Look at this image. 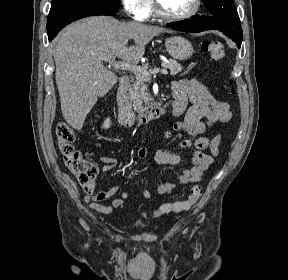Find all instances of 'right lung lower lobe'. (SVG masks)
<instances>
[{"instance_id":"98d812e1","label":"right lung lower lobe","mask_w":288,"mask_h":280,"mask_svg":"<svg viewBox=\"0 0 288 280\" xmlns=\"http://www.w3.org/2000/svg\"><path fill=\"white\" fill-rule=\"evenodd\" d=\"M117 11L93 1H77L50 10L47 18V34L52 41L58 32L69 23L91 15H114Z\"/></svg>"}]
</instances>
